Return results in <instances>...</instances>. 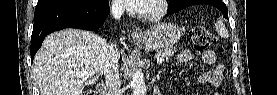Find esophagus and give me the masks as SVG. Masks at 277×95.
Here are the masks:
<instances>
[{
  "instance_id": "1",
  "label": "esophagus",
  "mask_w": 277,
  "mask_h": 95,
  "mask_svg": "<svg viewBox=\"0 0 277 95\" xmlns=\"http://www.w3.org/2000/svg\"><path fill=\"white\" fill-rule=\"evenodd\" d=\"M131 36L133 39H142L144 38V32L140 27H135L131 31Z\"/></svg>"
}]
</instances>
